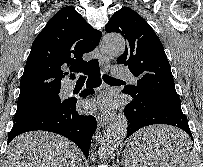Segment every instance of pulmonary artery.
Listing matches in <instances>:
<instances>
[{"mask_svg":"<svg viewBox=\"0 0 203 167\" xmlns=\"http://www.w3.org/2000/svg\"><path fill=\"white\" fill-rule=\"evenodd\" d=\"M112 72L113 74L116 76V77H119V78H127L131 81H136L135 77L133 76V74L129 71L128 68L126 67H123V66H115L113 69H112ZM71 87V86H69Z\"/></svg>","mask_w":203,"mask_h":167,"instance_id":"pulmonary-artery-1","label":"pulmonary artery"}]
</instances>
